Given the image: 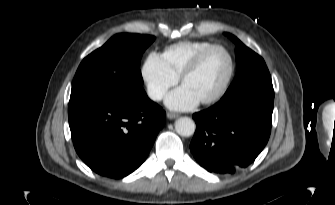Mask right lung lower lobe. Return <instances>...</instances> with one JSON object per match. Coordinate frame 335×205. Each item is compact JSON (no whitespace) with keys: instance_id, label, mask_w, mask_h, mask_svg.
<instances>
[{"instance_id":"obj_1","label":"right lung lower lobe","mask_w":335,"mask_h":205,"mask_svg":"<svg viewBox=\"0 0 335 205\" xmlns=\"http://www.w3.org/2000/svg\"><path fill=\"white\" fill-rule=\"evenodd\" d=\"M68 114L77 154L93 171L111 178H123L144 162L166 117L144 91L70 101Z\"/></svg>"}]
</instances>
